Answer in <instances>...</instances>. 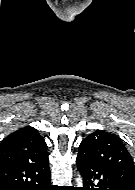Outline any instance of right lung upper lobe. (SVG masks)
Instances as JSON below:
<instances>
[{
    "label": "right lung upper lobe",
    "mask_w": 135,
    "mask_h": 190,
    "mask_svg": "<svg viewBox=\"0 0 135 190\" xmlns=\"http://www.w3.org/2000/svg\"><path fill=\"white\" fill-rule=\"evenodd\" d=\"M46 158L47 145L32 127H24L11 133L0 145V167L20 162H39Z\"/></svg>",
    "instance_id": "cb5924a9"
}]
</instances>
